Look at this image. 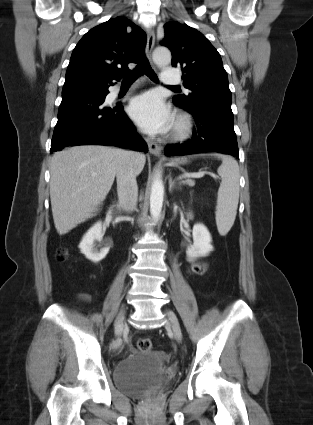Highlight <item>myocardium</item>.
<instances>
[{
  "label": "myocardium",
  "mask_w": 313,
  "mask_h": 425,
  "mask_svg": "<svg viewBox=\"0 0 313 425\" xmlns=\"http://www.w3.org/2000/svg\"><path fill=\"white\" fill-rule=\"evenodd\" d=\"M192 129L193 123L191 118L186 114H180L175 120L172 136L175 139H185L191 134Z\"/></svg>",
  "instance_id": "f54148a6"
}]
</instances>
